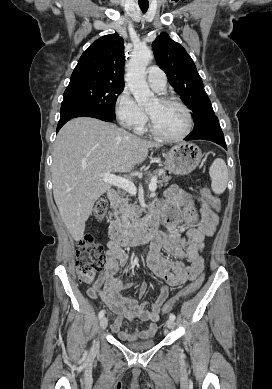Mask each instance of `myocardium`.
I'll use <instances>...</instances> for the list:
<instances>
[{
  "label": "myocardium",
  "instance_id": "obj_1",
  "mask_svg": "<svg viewBox=\"0 0 272 389\" xmlns=\"http://www.w3.org/2000/svg\"><path fill=\"white\" fill-rule=\"evenodd\" d=\"M158 101L161 104H174V105L179 106L184 111V113L187 117V126H186V129L181 134H179L177 136H168V135H165L158 130L152 116L148 113L149 128H150L151 133L155 137H157L161 140H164V141H168V142H177V141L183 140L187 136H189V134L191 133V131L193 129V117H192V113H191L189 107L186 104H184L182 101H180L179 99H176L174 97H169V96L160 97V98H158Z\"/></svg>",
  "mask_w": 272,
  "mask_h": 389
}]
</instances>
